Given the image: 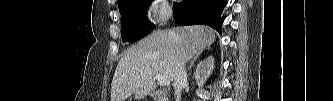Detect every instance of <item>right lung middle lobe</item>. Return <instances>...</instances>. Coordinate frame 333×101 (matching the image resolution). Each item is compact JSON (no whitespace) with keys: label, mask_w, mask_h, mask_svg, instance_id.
Segmentation results:
<instances>
[{"label":"right lung middle lobe","mask_w":333,"mask_h":101,"mask_svg":"<svg viewBox=\"0 0 333 101\" xmlns=\"http://www.w3.org/2000/svg\"><path fill=\"white\" fill-rule=\"evenodd\" d=\"M151 1L121 0L117 2L122 19L121 37L124 42L137 41L155 28L146 17V10Z\"/></svg>","instance_id":"1"}]
</instances>
